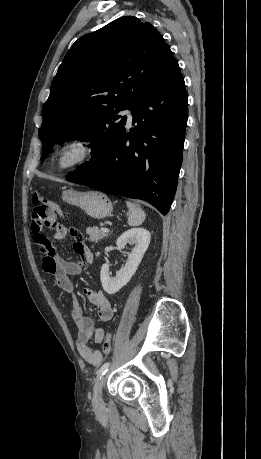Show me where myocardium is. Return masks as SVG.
<instances>
[{"label": "myocardium", "mask_w": 261, "mask_h": 459, "mask_svg": "<svg viewBox=\"0 0 261 459\" xmlns=\"http://www.w3.org/2000/svg\"><path fill=\"white\" fill-rule=\"evenodd\" d=\"M94 142L85 136L66 138L56 145L51 155V165L58 173H67L90 163L95 156ZM65 158H68L65 161Z\"/></svg>", "instance_id": "f54148a6"}]
</instances>
